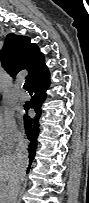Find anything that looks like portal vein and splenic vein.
I'll return each instance as SVG.
<instances>
[{
	"mask_svg": "<svg viewBox=\"0 0 89 203\" xmlns=\"http://www.w3.org/2000/svg\"><path fill=\"white\" fill-rule=\"evenodd\" d=\"M0 203H6L5 201H0Z\"/></svg>",
	"mask_w": 89,
	"mask_h": 203,
	"instance_id": "portal-vein-and-splenic-vein-1",
	"label": "portal vein and splenic vein"
}]
</instances>
